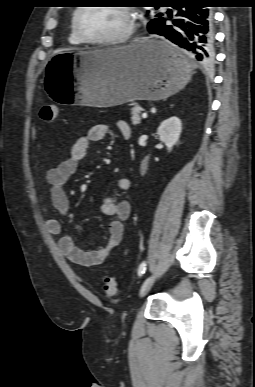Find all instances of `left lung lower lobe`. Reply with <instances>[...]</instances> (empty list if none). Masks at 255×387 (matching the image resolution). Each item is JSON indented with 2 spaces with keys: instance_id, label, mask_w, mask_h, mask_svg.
<instances>
[{
  "instance_id": "1",
  "label": "left lung lower lobe",
  "mask_w": 255,
  "mask_h": 387,
  "mask_svg": "<svg viewBox=\"0 0 255 387\" xmlns=\"http://www.w3.org/2000/svg\"><path fill=\"white\" fill-rule=\"evenodd\" d=\"M172 4V8L179 10L176 14L178 18L172 20L173 25H166V19L159 17L148 23V31L164 36L177 47L188 51L201 66L211 65L214 61L215 39L213 12L209 6L215 4V1L177 0ZM180 4H185L183 10ZM168 16H172L170 11ZM165 51L177 52L169 46H165Z\"/></svg>"
}]
</instances>
